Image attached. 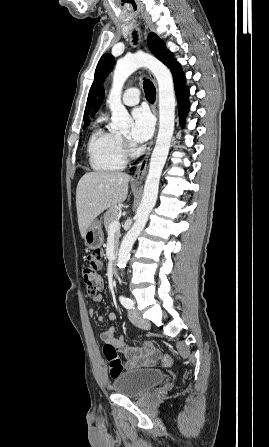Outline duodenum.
Listing matches in <instances>:
<instances>
[{
  "mask_svg": "<svg viewBox=\"0 0 269 447\" xmlns=\"http://www.w3.org/2000/svg\"><path fill=\"white\" fill-rule=\"evenodd\" d=\"M117 260H118V253L113 252L111 256V271L113 275H116L118 271Z\"/></svg>",
  "mask_w": 269,
  "mask_h": 447,
  "instance_id": "duodenum-1",
  "label": "duodenum"
}]
</instances>
